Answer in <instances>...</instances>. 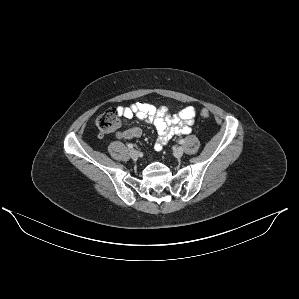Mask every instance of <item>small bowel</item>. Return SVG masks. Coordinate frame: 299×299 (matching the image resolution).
Instances as JSON below:
<instances>
[{
    "mask_svg": "<svg viewBox=\"0 0 299 299\" xmlns=\"http://www.w3.org/2000/svg\"><path fill=\"white\" fill-rule=\"evenodd\" d=\"M116 111L125 118L137 117L155 126L158 134L154 146L156 152L162 151L172 137L189 134L195 117L193 107H186L171 115L166 107L157 108L143 102L133 103L129 106L119 105L116 107ZM141 135L142 130L139 127H130L116 133L118 139H136Z\"/></svg>",
    "mask_w": 299,
    "mask_h": 299,
    "instance_id": "c3829d8e",
    "label": "small bowel"
}]
</instances>
